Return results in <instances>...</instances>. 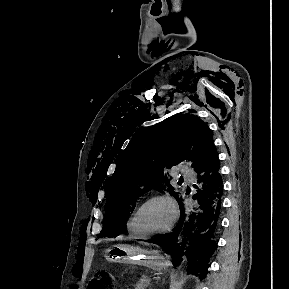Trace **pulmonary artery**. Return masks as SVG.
Returning a JSON list of instances; mask_svg holds the SVG:
<instances>
[{"mask_svg":"<svg viewBox=\"0 0 289 289\" xmlns=\"http://www.w3.org/2000/svg\"><path fill=\"white\" fill-rule=\"evenodd\" d=\"M180 169H181L182 177H184L186 179H189V178H192L194 176L193 173L190 172V170L188 169L187 166L182 165Z\"/></svg>","mask_w":289,"mask_h":289,"instance_id":"pulmonary-artery-1","label":"pulmonary artery"}]
</instances>
